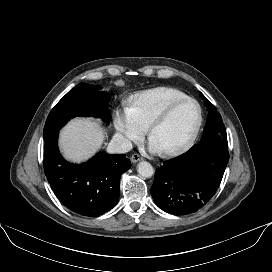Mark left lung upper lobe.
<instances>
[{
	"label": "left lung upper lobe",
	"instance_id": "left-lung-upper-lobe-1",
	"mask_svg": "<svg viewBox=\"0 0 272 272\" xmlns=\"http://www.w3.org/2000/svg\"><path fill=\"white\" fill-rule=\"evenodd\" d=\"M200 96L204 99V103L208 108L209 114L202 134V139L198 144L200 146L212 145L214 147L227 149V134L221 115L217 112L215 106L202 93H200Z\"/></svg>",
	"mask_w": 272,
	"mask_h": 272
}]
</instances>
